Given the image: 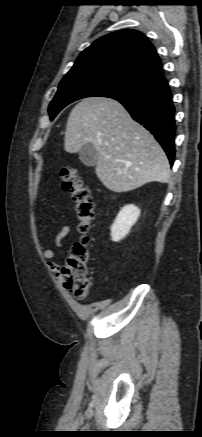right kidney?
Wrapping results in <instances>:
<instances>
[{
    "mask_svg": "<svg viewBox=\"0 0 202 437\" xmlns=\"http://www.w3.org/2000/svg\"><path fill=\"white\" fill-rule=\"evenodd\" d=\"M140 216V209L133 205L124 206L118 213L115 221L111 226V238L114 242H119L125 238L131 227L137 222Z\"/></svg>",
    "mask_w": 202,
    "mask_h": 437,
    "instance_id": "1",
    "label": "right kidney"
}]
</instances>
